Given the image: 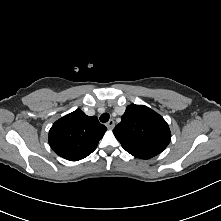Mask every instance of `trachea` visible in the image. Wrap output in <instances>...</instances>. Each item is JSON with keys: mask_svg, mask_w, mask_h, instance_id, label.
<instances>
[{"mask_svg": "<svg viewBox=\"0 0 221 221\" xmlns=\"http://www.w3.org/2000/svg\"><path fill=\"white\" fill-rule=\"evenodd\" d=\"M110 118V115L108 113H103L101 116H100V121L102 123H105L109 120Z\"/></svg>", "mask_w": 221, "mask_h": 221, "instance_id": "trachea-1", "label": "trachea"}]
</instances>
